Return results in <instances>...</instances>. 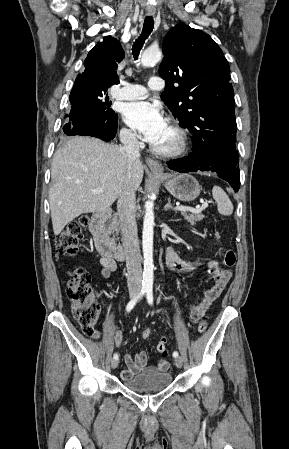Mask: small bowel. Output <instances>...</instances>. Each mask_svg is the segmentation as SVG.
Returning a JSON list of instances; mask_svg holds the SVG:
<instances>
[{
	"label": "small bowel",
	"mask_w": 289,
	"mask_h": 449,
	"mask_svg": "<svg viewBox=\"0 0 289 449\" xmlns=\"http://www.w3.org/2000/svg\"><path fill=\"white\" fill-rule=\"evenodd\" d=\"M166 264L169 269L176 272H190L198 266L195 263L181 259L171 248L166 251ZM101 264L103 266L102 276L108 278L112 272L116 270V263L111 258L102 257ZM208 273L210 280L213 281V286L204 291L201 300L194 303L190 307V320L197 322L209 309L211 304L221 295L225 286L231 279L232 273L230 270L221 269L218 263L214 260L207 262ZM114 340L119 347L123 346V335L118 328H114ZM98 336V333L95 334ZM156 348L161 357L167 358L170 354L167 352L169 344L167 339L163 337ZM126 368H124L120 375L123 380L130 379L135 375L145 372H163L169 368V362L166 359H161L155 366L148 365V355L145 351L138 352L135 356L125 354L124 356Z\"/></svg>",
	"instance_id": "c3829d8e"
}]
</instances>
